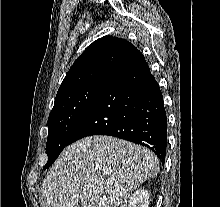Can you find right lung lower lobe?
Wrapping results in <instances>:
<instances>
[{"mask_svg": "<svg viewBox=\"0 0 220 207\" xmlns=\"http://www.w3.org/2000/svg\"><path fill=\"white\" fill-rule=\"evenodd\" d=\"M91 135H109L146 146L164 162L167 117L161 90L145 58L107 78L69 144Z\"/></svg>", "mask_w": 220, "mask_h": 207, "instance_id": "right-lung-lower-lobe-1", "label": "right lung lower lobe"}]
</instances>
